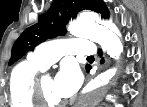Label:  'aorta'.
I'll return each mask as SVG.
<instances>
[{
    "instance_id": "762f6f07",
    "label": "aorta",
    "mask_w": 147,
    "mask_h": 107,
    "mask_svg": "<svg viewBox=\"0 0 147 107\" xmlns=\"http://www.w3.org/2000/svg\"><path fill=\"white\" fill-rule=\"evenodd\" d=\"M71 35L90 39L98 43L107 54L118 59L123 50L121 39L113 24H99L89 18H79L68 26ZM114 69H108L91 81L82 96L85 107L96 106L107 91V81L113 75Z\"/></svg>"
}]
</instances>
